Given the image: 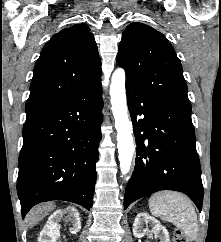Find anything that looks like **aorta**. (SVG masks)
Here are the masks:
<instances>
[{
  "label": "aorta",
  "instance_id": "762f6f07",
  "mask_svg": "<svg viewBox=\"0 0 221 242\" xmlns=\"http://www.w3.org/2000/svg\"><path fill=\"white\" fill-rule=\"evenodd\" d=\"M111 109L117 130V148L122 175L130 171L135 151L125 90V71L117 68L111 78L109 89Z\"/></svg>",
  "mask_w": 221,
  "mask_h": 242
}]
</instances>
